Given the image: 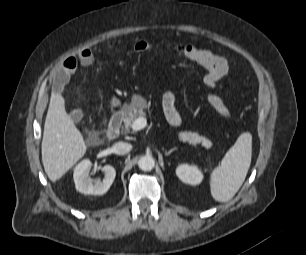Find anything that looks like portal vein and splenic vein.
Segmentation results:
<instances>
[{
    "label": "portal vein and splenic vein",
    "mask_w": 306,
    "mask_h": 255,
    "mask_svg": "<svg viewBox=\"0 0 306 255\" xmlns=\"http://www.w3.org/2000/svg\"><path fill=\"white\" fill-rule=\"evenodd\" d=\"M147 126V120L145 117H138L137 119H135L131 125V128L133 131H139L142 130L143 128H145ZM203 142H208V140L206 138H202Z\"/></svg>",
    "instance_id": "1"
}]
</instances>
